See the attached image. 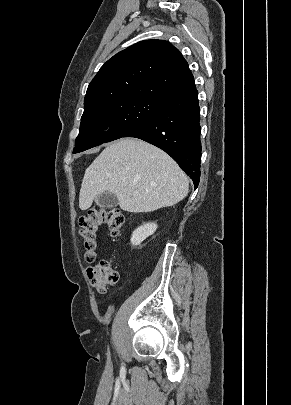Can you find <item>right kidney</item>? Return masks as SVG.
<instances>
[{"label": "right kidney", "mask_w": 291, "mask_h": 405, "mask_svg": "<svg viewBox=\"0 0 291 405\" xmlns=\"http://www.w3.org/2000/svg\"><path fill=\"white\" fill-rule=\"evenodd\" d=\"M157 229V224L154 222L146 223L134 230L131 236V244L139 245L147 237L154 234Z\"/></svg>", "instance_id": "obj_1"}]
</instances>
